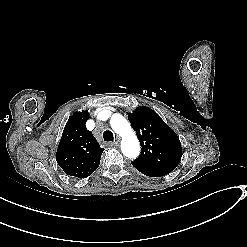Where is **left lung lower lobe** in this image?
Listing matches in <instances>:
<instances>
[{"label": "left lung lower lobe", "mask_w": 247, "mask_h": 247, "mask_svg": "<svg viewBox=\"0 0 247 247\" xmlns=\"http://www.w3.org/2000/svg\"><path fill=\"white\" fill-rule=\"evenodd\" d=\"M132 165L139 172H141L147 176H150V177H161V176H165L169 173V172L157 169V168H153V167H149V166H145V165H141V164L132 163Z\"/></svg>", "instance_id": "left-lung-lower-lobe-1"}]
</instances>
